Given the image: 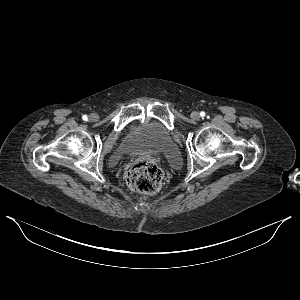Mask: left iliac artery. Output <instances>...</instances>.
<instances>
[{"mask_svg":"<svg viewBox=\"0 0 300 300\" xmlns=\"http://www.w3.org/2000/svg\"><path fill=\"white\" fill-rule=\"evenodd\" d=\"M200 116H201V117H204V116H205V112L202 111V112L200 113Z\"/></svg>","mask_w":300,"mask_h":300,"instance_id":"1","label":"left iliac artery"}]
</instances>
